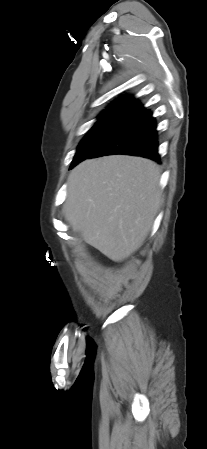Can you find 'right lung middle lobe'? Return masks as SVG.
Masks as SVG:
<instances>
[{
  "mask_svg": "<svg viewBox=\"0 0 207 449\" xmlns=\"http://www.w3.org/2000/svg\"><path fill=\"white\" fill-rule=\"evenodd\" d=\"M137 114L127 112H109L100 115L98 121L89 130L78 146L70 169L88 158L110 137L126 126Z\"/></svg>",
  "mask_w": 207,
  "mask_h": 449,
  "instance_id": "1",
  "label": "right lung middle lobe"
}]
</instances>
